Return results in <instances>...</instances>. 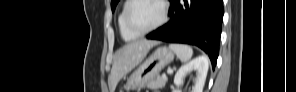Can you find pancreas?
I'll return each mask as SVG.
<instances>
[{"instance_id": "1", "label": "pancreas", "mask_w": 296, "mask_h": 92, "mask_svg": "<svg viewBox=\"0 0 296 92\" xmlns=\"http://www.w3.org/2000/svg\"><path fill=\"white\" fill-rule=\"evenodd\" d=\"M167 81H168L167 77L157 76L156 78L149 81L147 83L146 87L149 89H161V88L165 87Z\"/></svg>"}]
</instances>
